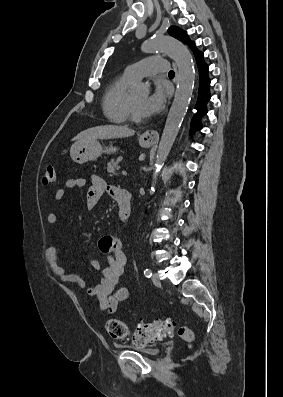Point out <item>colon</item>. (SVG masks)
I'll use <instances>...</instances> for the list:
<instances>
[{
  "label": "colon",
  "mask_w": 283,
  "mask_h": 397,
  "mask_svg": "<svg viewBox=\"0 0 283 397\" xmlns=\"http://www.w3.org/2000/svg\"><path fill=\"white\" fill-rule=\"evenodd\" d=\"M56 181V168L48 165L42 175V183L51 185ZM106 330L108 334L116 340H131L135 345H145L155 339L169 338L174 335L175 324L169 319H161L151 323L139 325L134 332H130L127 325L117 319H108L106 321ZM178 334L188 343L193 341L191 331L185 327L179 329Z\"/></svg>",
  "instance_id": "colon-1"
}]
</instances>
